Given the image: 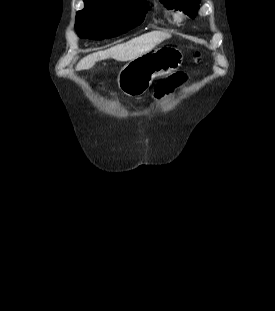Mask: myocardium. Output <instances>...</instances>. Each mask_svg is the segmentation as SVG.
<instances>
[{
	"instance_id": "f54148a6",
	"label": "myocardium",
	"mask_w": 275,
	"mask_h": 311,
	"mask_svg": "<svg viewBox=\"0 0 275 311\" xmlns=\"http://www.w3.org/2000/svg\"><path fill=\"white\" fill-rule=\"evenodd\" d=\"M184 19H185V15L183 14V12L179 11L175 14V20L177 22H182Z\"/></svg>"
}]
</instances>
